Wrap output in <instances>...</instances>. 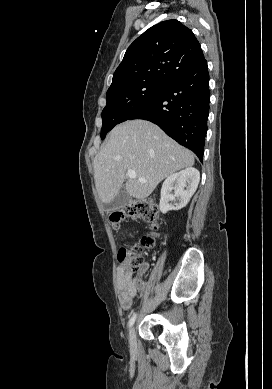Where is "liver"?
<instances>
[{
  "label": "liver",
  "instance_id": "6515ba94",
  "mask_svg": "<svg viewBox=\"0 0 272 389\" xmlns=\"http://www.w3.org/2000/svg\"><path fill=\"white\" fill-rule=\"evenodd\" d=\"M193 165L191 151L145 120L117 125L93 161L95 185L103 203L110 202L118 194L128 170L135 171L136 178H129L125 189L131 197L142 200L163 179ZM139 178L147 182H140Z\"/></svg>",
  "mask_w": 272,
  "mask_h": 389
}]
</instances>
